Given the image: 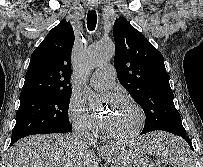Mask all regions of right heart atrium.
Here are the masks:
<instances>
[{
	"label": "right heart atrium",
	"mask_w": 203,
	"mask_h": 167,
	"mask_svg": "<svg viewBox=\"0 0 203 167\" xmlns=\"http://www.w3.org/2000/svg\"><path fill=\"white\" fill-rule=\"evenodd\" d=\"M68 114L74 129L82 132L96 130V120L82 100L72 97L68 105Z\"/></svg>",
	"instance_id": "right-heart-atrium-1"
}]
</instances>
